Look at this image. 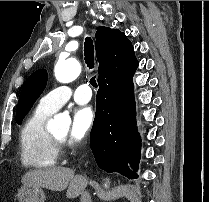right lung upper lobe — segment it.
Masks as SVG:
<instances>
[{"label": "right lung upper lobe", "instance_id": "obj_1", "mask_svg": "<svg viewBox=\"0 0 209 202\" xmlns=\"http://www.w3.org/2000/svg\"><path fill=\"white\" fill-rule=\"evenodd\" d=\"M98 84L114 88L132 81L138 61L131 42L120 30L101 26L96 31Z\"/></svg>", "mask_w": 209, "mask_h": 202}]
</instances>
